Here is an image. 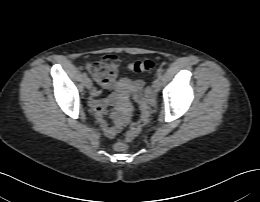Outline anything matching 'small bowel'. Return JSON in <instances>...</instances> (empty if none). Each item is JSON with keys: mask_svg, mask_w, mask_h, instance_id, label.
Returning a JSON list of instances; mask_svg holds the SVG:
<instances>
[{"mask_svg": "<svg viewBox=\"0 0 260 202\" xmlns=\"http://www.w3.org/2000/svg\"><path fill=\"white\" fill-rule=\"evenodd\" d=\"M100 86L104 90L111 91V93L107 97L99 99L100 90L95 89L92 92L90 107L104 134L108 138H115L130 123L134 114V107L118 95L114 80L100 84ZM114 104L116 109L111 113V122H109L106 117L107 109Z\"/></svg>", "mask_w": 260, "mask_h": 202, "instance_id": "obj_1", "label": "small bowel"}]
</instances>
